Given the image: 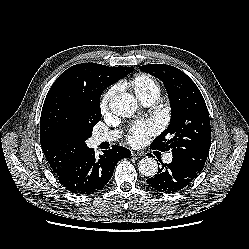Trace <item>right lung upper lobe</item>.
<instances>
[{
  "mask_svg": "<svg viewBox=\"0 0 249 249\" xmlns=\"http://www.w3.org/2000/svg\"><path fill=\"white\" fill-rule=\"evenodd\" d=\"M110 67L96 63H82L68 68L54 84L66 81L84 91L103 89L114 82ZM40 142L43 153L53 171L58 175L68 168L85 150H80L71 138L56 134L41 116Z\"/></svg>",
  "mask_w": 249,
  "mask_h": 249,
  "instance_id": "1",
  "label": "right lung upper lobe"
}]
</instances>
